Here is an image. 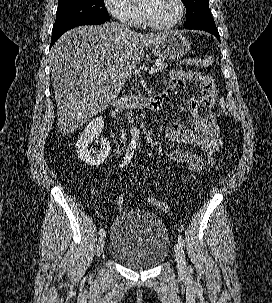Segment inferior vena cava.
Wrapping results in <instances>:
<instances>
[{
	"instance_id": "inferior-vena-cava-1",
	"label": "inferior vena cava",
	"mask_w": 272,
	"mask_h": 303,
	"mask_svg": "<svg viewBox=\"0 0 272 303\" xmlns=\"http://www.w3.org/2000/svg\"><path fill=\"white\" fill-rule=\"evenodd\" d=\"M124 26V25H123ZM126 29H129V28H127V26H124ZM120 138H121V142L122 143H124V145H125V141H126V133H125V131H124V129H122L121 128V130H120Z\"/></svg>"
}]
</instances>
